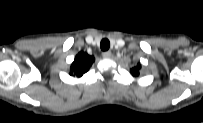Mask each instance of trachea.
<instances>
[{"label": "trachea", "mask_w": 203, "mask_h": 123, "mask_svg": "<svg viewBox=\"0 0 203 123\" xmlns=\"http://www.w3.org/2000/svg\"><path fill=\"white\" fill-rule=\"evenodd\" d=\"M100 47H101V50L103 51H107L110 47V42L108 39L104 38L102 39L101 43H100Z\"/></svg>", "instance_id": "obj_1"}]
</instances>
